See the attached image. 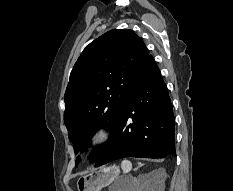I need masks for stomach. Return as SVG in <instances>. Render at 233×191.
<instances>
[{"instance_id": "0dacf381", "label": "stomach", "mask_w": 233, "mask_h": 191, "mask_svg": "<svg viewBox=\"0 0 233 191\" xmlns=\"http://www.w3.org/2000/svg\"><path fill=\"white\" fill-rule=\"evenodd\" d=\"M119 175L116 166L103 167L78 179V191H101L110 185Z\"/></svg>"}]
</instances>
